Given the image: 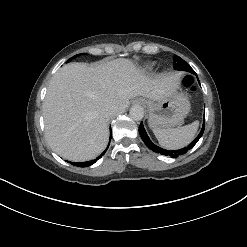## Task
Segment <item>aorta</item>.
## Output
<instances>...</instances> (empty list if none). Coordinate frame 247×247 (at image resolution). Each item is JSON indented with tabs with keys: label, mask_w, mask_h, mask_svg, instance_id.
Instances as JSON below:
<instances>
[{
	"label": "aorta",
	"mask_w": 247,
	"mask_h": 247,
	"mask_svg": "<svg viewBox=\"0 0 247 247\" xmlns=\"http://www.w3.org/2000/svg\"><path fill=\"white\" fill-rule=\"evenodd\" d=\"M130 116L132 119L138 121L144 117V110L141 106H132L130 108Z\"/></svg>",
	"instance_id": "aorta-1"
}]
</instances>
